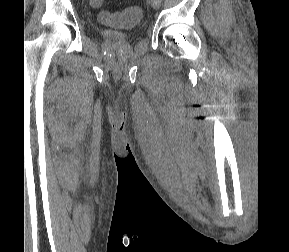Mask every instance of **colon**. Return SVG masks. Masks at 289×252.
<instances>
[{"label": "colon", "mask_w": 289, "mask_h": 252, "mask_svg": "<svg viewBox=\"0 0 289 252\" xmlns=\"http://www.w3.org/2000/svg\"><path fill=\"white\" fill-rule=\"evenodd\" d=\"M93 7H100L103 4V0H91ZM141 18V11L139 8L129 6L124 9L122 13H109L103 11L100 14L102 22L116 26V27H130L136 24Z\"/></svg>", "instance_id": "obj_1"}]
</instances>
